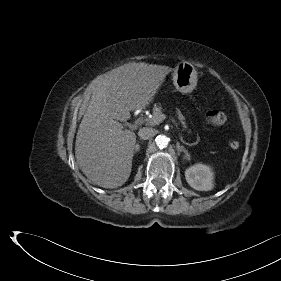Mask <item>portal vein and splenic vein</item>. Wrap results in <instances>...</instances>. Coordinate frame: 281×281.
I'll use <instances>...</instances> for the list:
<instances>
[{
  "label": "portal vein and splenic vein",
  "instance_id": "18ae733b",
  "mask_svg": "<svg viewBox=\"0 0 281 281\" xmlns=\"http://www.w3.org/2000/svg\"><path fill=\"white\" fill-rule=\"evenodd\" d=\"M165 118H166V116L164 114H162L158 119L154 120V123L158 124V123L162 122ZM151 123H153V122H151Z\"/></svg>",
  "mask_w": 281,
  "mask_h": 281
}]
</instances>
